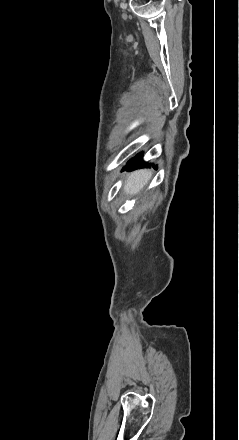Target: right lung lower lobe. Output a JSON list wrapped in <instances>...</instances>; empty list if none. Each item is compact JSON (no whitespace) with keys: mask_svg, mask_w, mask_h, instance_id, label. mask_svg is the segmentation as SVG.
Returning <instances> with one entry per match:
<instances>
[{"mask_svg":"<svg viewBox=\"0 0 239 440\" xmlns=\"http://www.w3.org/2000/svg\"><path fill=\"white\" fill-rule=\"evenodd\" d=\"M142 154H138L135 158H133L132 160H130L128 162V166L129 167H135V166H141V165H145L142 160H141Z\"/></svg>","mask_w":239,"mask_h":440,"instance_id":"obj_1","label":"right lung lower lobe"}]
</instances>
